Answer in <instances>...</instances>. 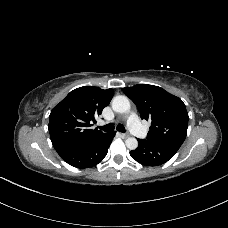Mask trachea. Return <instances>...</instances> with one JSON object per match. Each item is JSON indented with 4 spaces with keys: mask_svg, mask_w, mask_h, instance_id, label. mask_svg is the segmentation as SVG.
Returning a JSON list of instances; mask_svg holds the SVG:
<instances>
[{
    "mask_svg": "<svg viewBox=\"0 0 228 228\" xmlns=\"http://www.w3.org/2000/svg\"><path fill=\"white\" fill-rule=\"evenodd\" d=\"M114 124L110 123V124H107L105 126H102L100 127V129H102L103 131L107 132V131H112L114 130ZM116 129L119 131V132H125V127L121 124H118Z\"/></svg>",
    "mask_w": 228,
    "mask_h": 228,
    "instance_id": "1",
    "label": "trachea"
}]
</instances>
